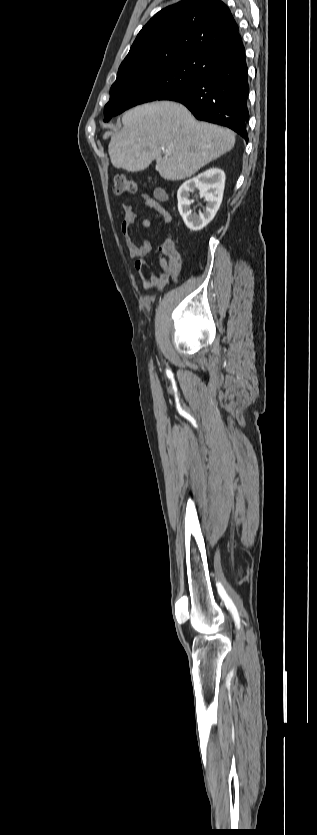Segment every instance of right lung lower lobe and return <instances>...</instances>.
<instances>
[{
	"label": "right lung lower lobe",
	"mask_w": 317,
	"mask_h": 835,
	"mask_svg": "<svg viewBox=\"0 0 317 835\" xmlns=\"http://www.w3.org/2000/svg\"><path fill=\"white\" fill-rule=\"evenodd\" d=\"M195 57L202 66V77L158 100L180 102L197 119L226 126L248 142V68L240 34Z\"/></svg>",
	"instance_id": "right-lung-lower-lobe-1"
}]
</instances>
